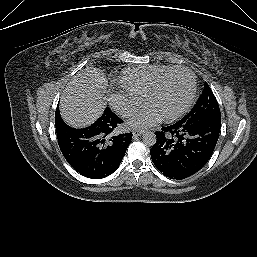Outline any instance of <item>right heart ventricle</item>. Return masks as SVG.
I'll use <instances>...</instances> for the list:
<instances>
[{"mask_svg":"<svg viewBox=\"0 0 257 257\" xmlns=\"http://www.w3.org/2000/svg\"><path fill=\"white\" fill-rule=\"evenodd\" d=\"M170 67L146 65L126 68L121 74L120 85L128 93L143 98L154 81Z\"/></svg>","mask_w":257,"mask_h":257,"instance_id":"obj_1","label":"right heart ventricle"}]
</instances>
